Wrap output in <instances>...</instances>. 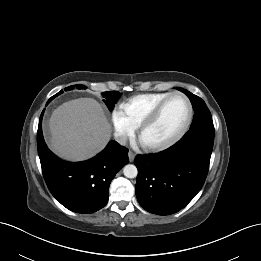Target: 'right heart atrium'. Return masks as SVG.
Masks as SVG:
<instances>
[{
	"label": "right heart atrium",
	"instance_id": "right-heart-atrium-1",
	"mask_svg": "<svg viewBox=\"0 0 261 261\" xmlns=\"http://www.w3.org/2000/svg\"><path fill=\"white\" fill-rule=\"evenodd\" d=\"M111 122L114 128L115 137L120 143L125 142L128 138L133 136L135 128L120 109H114L112 111Z\"/></svg>",
	"mask_w": 261,
	"mask_h": 261
}]
</instances>
